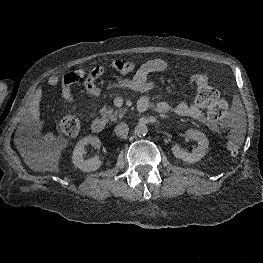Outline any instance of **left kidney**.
<instances>
[{
  "label": "left kidney",
  "mask_w": 263,
  "mask_h": 263,
  "mask_svg": "<svg viewBox=\"0 0 263 263\" xmlns=\"http://www.w3.org/2000/svg\"><path fill=\"white\" fill-rule=\"evenodd\" d=\"M184 136L186 139L196 141L198 147L192 153H189L175 144L172 146V152L176 158L184 162L195 163L206 155L209 144L208 138L204 133L194 129L187 130Z\"/></svg>",
  "instance_id": "obj_1"
}]
</instances>
